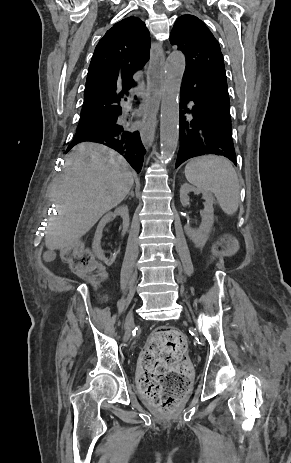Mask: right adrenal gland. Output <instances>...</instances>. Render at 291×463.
<instances>
[{
	"label": "right adrenal gland",
	"mask_w": 291,
	"mask_h": 463,
	"mask_svg": "<svg viewBox=\"0 0 291 463\" xmlns=\"http://www.w3.org/2000/svg\"><path fill=\"white\" fill-rule=\"evenodd\" d=\"M129 196L134 197L133 187L131 188V191L127 194L125 199H127Z\"/></svg>",
	"instance_id": "2a0ac1e0"
}]
</instances>
